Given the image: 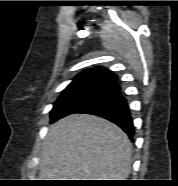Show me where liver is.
<instances>
[{
    "label": "liver",
    "mask_w": 178,
    "mask_h": 186,
    "mask_svg": "<svg viewBox=\"0 0 178 186\" xmlns=\"http://www.w3.org/2000/svg\"><path fill=\"white\" fill-rule=\"evenodd\" d=\"M132 144L115 124L74 114L50 126L40 157V180H126Z\"/></svg>",
    "instance_id": "6515ba94"
}]
</instances>
